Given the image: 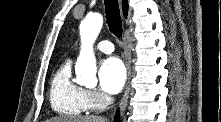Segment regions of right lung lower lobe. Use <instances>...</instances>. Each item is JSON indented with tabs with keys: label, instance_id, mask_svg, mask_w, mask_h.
Returning a JSON list of instances; mask_svg holds the SVG:
<instances>
[{
	"label": "right lung lower lobe",
	"instance_id": "98d812e1",
	"mask_svg": "<svg viewBox=\"0 0 221 122\" xmlns=\"http://www.w3.org/2000/svg\"><path fill=\"white\" fill-rule=\"evenodd\" d=\"M116 121L119 122V118H118V116H116Z\"/></svg>",
	"mask_w": 221,
	"mask_h": 122
}]
</instances>
